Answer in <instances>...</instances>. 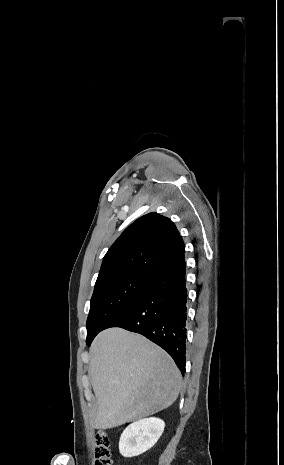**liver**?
<instances>
[{
	"mask_svg": "<svg viewBox=\"0 0 284 465\" xmlns=\"http://www.w3.org/2000/svg\"><path fill=\"white\" fill-rule=\"evenodd\" d=\"M97 399L94 429H112L155 415L176 401L182 377L171 357L136 333L107 329L90 347Z\"/></svg>",
	"mask_w": 284,
	"mask_h": 465,
	"instance_id": "1",
	"label": "liver"
}]
</instances>
